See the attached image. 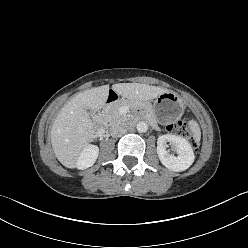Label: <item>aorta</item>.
Listing matches in <instances>:
<instances>
[{"label": "aorta", "mask_w": 248, "mask_h": 248, "mask_svg": "<svg viewBox=\"0 0 248 248\" xmlns=\"http://www.w3.org/2000/svg\"><path fill=\"white\" fill-rule=\"evenodd\" d=\"M136 128L139 133H145L148 130V125L146 122L141 121L137 124Z\"/></svg>", "instance_id": "aorta-1"}]
</instances>
